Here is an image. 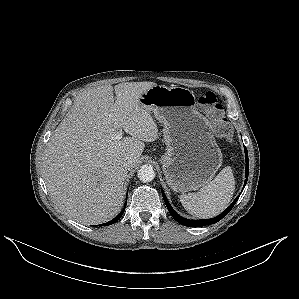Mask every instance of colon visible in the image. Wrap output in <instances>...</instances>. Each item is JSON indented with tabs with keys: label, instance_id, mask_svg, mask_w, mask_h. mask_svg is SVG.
Listing matches in <instances>:
<instances>
[{
	"label": "colon",
	"instance_id": "colon-1",
	"mask_svg": "<svg viewBox=\"0 0 299 299\" xmlns=\"http://www.w3.org/2000/svg\"><path fill=\"white\" fill-rule=\"evenodd\" d=\"M197 102L201 110L213 124L214 133L221 138H229L232 127L224 115L223 106L212 92H205L198 96Z\"/></svg>",
	"mask_w": 299,
	"mask_h": 299
}]
</instances>
